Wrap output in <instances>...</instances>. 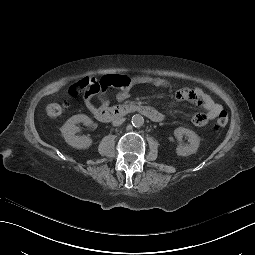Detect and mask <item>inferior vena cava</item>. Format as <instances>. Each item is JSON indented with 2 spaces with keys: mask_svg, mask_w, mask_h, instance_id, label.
Listing matches in <instances>:
<instances>
[{
  "mask_svg": "<svg viewBox=\"0 0 255 255\" xmlns=\"http://www.w3.org/2000/svg\"><path fill=\"white\" fill-rule=\"evenodd\" d=\"M125 121V118H118L113 121V126H119Z\"/></svg>",
  "mask_w": 255,
  "mask_h": 255,
  "instance_id": "inferior-vena-cava-1",
  "label": "inferior vena cava"
}]
</instances>
